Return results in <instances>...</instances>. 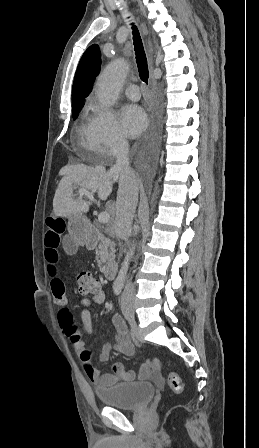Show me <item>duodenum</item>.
Segmentation results:
<instances>
[{
  "mask_svg": "<svg viewBox=\"0 0 259 448\" xmlns=\"http://www.w3.org/2000/svg\"><path fill=\"white\" fill-rule=\"evenodd\" d=\"M100 231L96 227H90L87 232V242L88 248H93L96 246L98 239L100 238ZM118 266L115 262H108L103 267V274L108 280H114L117 275Z\"/></svg>",
  "mask_w": 259,
  "mask_h": 448,
  "instance_id": "410a0bca",
  "label": "duodenum"
}]
</instances>
